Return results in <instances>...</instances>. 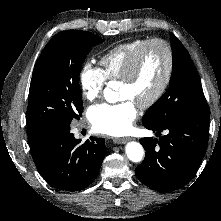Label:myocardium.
Wrapping results in <instances>:
<instances>
[{"mask_svg": "<svg viewBox=\"0 0 221 221\" xmlns=\"http://www.w3.org/2000/svg\"><path fill=\"white\" fill-rule=\"evenodd\" d=\"M153 45H160L165 50L166 56H167V68H166L164 79L161 85L159 86V88L156 90V92L148 100L138 105L141 109L151 108L156 103H158L160 99L164 96V94L166 93L171 83L173 71H174L175 58H174V52L170 43L162 38H153V39L147 40L130 59L124 74L120 78L122 82H125V83L131 82L134 79L138 71V68L140 66V63H141V60L143 58L145 51Z\"/></svg>", "mask_w": 221, "mask_h": 221, "instance_id": "f54148a6", "label": "myocardium"}]
</instances>
